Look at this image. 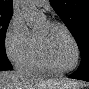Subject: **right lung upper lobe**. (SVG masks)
I'll return each mask as SVG.
<instances>
[{
  "label": "right lung upper lobe",
  "instance_id": "right-lung-upper-lobe-1",
  "mask_svg": "<svg viewBox=\"0 0 89 89\" xmlns=\"http://www.w3.org/2000/svg\"><path fill=\"white\" fill-rule=\"evenodd\" d=\"M0 9L6 11H13V1L12 0H0Z\"/></svg>",
  "mask_w": 89,
  "mask_h": 89
}]
</instances>
